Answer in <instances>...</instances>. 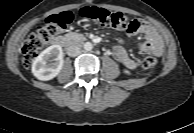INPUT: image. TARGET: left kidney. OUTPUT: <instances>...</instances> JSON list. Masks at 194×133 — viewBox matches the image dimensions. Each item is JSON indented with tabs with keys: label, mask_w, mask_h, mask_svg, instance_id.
Listing matches in <instances>:
<instances>
[{
	"label": "left kidney",
	"mask_w": 194,
	"mask_h": 133,
	"mask_svg": "<svg viewBox=\"0 0 194 133\" xmlns=\"http://www.w3.org/2000/svg\"><path fill=\"white\" fill-rule=\"evenodd\" d=\"M125 73L129 74L130 72L128 70H124Z\"/></svg>",
	"instance_id": "obj_1"
}]
</instances>
